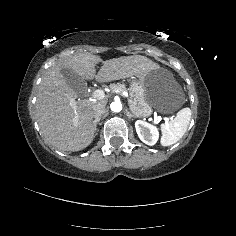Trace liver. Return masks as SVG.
Here are the masks:
<instances>
[{
  "label": "liver",
  "mask_w": 236,
  "mask_h": 236,
  "mask_svg": "<svg viewBox=\"0 0 236 236\" xmlns=\"http://www.w3.org/2000/svg\"><path fill=\"white\" fill-rule=\"evenodd\" d=\"M99 61V56L87 53L66 56L53 63L42 77L35 105L37 122L46 142L60 151H78L91 143L95 130L93 105L106 103L105 99H78L77 93L63 78L61 66L71 67L83 76L93 77L94 65ZM158 69L161 66L146 56H125L104 61L95 79L107 82L131 75L143 79L149 72ZM74 107L77 108L79 117L77 125H73Z\"/></svg>",
  "instance_id": "obj_1"
}]
</instances>
